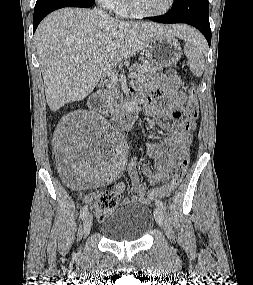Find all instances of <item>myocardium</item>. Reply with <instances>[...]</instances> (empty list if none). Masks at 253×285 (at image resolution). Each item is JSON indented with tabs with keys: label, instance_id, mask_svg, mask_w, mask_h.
<instances>
[{
	"label": "myocardium",
	"instance_id": "f54148a6",
	"mask_svg": "<svg viewBox=\"0 0 253 285\" xmlns=\"http://www.w3.org/2000/svg\"><path fill=\"white\" fill-rule=\"evenodd\" d=\"M126 2H127V6H128L130 13L133 16L139 17V18H154V17H159L162 15H165L166 13L171 11V9L175 5V0H169L167 7L165 9H163L162 11L144 12V11H141L140 9H138V7L136 6L135 0H126Z\"/></svg>",
	"mask_w": 253,
	"mask_h": 285
}]
</instances>
